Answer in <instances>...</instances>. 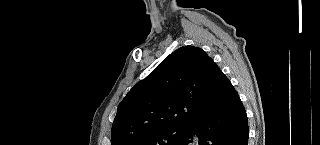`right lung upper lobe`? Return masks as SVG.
Masks as SVG:
<instances>
[{"mask_svg": "<svg viewBox=\"0 0 320 145\" xmlns=\"http://www.w3.org/2000/svg\"><path fill=\"white\" fill-rule=\"evenodd\" d=\"M225 75L201 48L180 47L119 104L111 145H131L157 130L185 127L207 114Z\"/></svg>", "mask_w": 320, "mask_h": 145, "instance_id": "obj_1", "label": "right lung upper lobe"}]
</instances>
